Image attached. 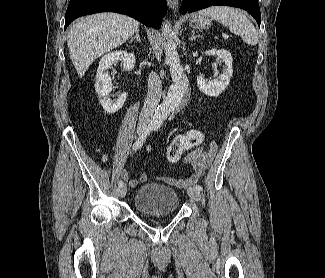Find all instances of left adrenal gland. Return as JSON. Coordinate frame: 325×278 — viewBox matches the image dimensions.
<instances>
[{
    "instance_id": "left-adrenal-gland-1",
    "label": "left adrenal gland",
    "mask_w": 325,
    "mask_h": 278,
    "mask_svg": "<svg viewBox=\"0 0 325 278\" xmlns=\"http://www.w3.org/2000/svg\"><path fill=\"white\" fill-rule=\"evenodd\" d=\"M191 32H192V36L189 38L190 41H193L197 37H200V35H195V31L194 30H192Z\"/></svg>"
}]
</instances>
